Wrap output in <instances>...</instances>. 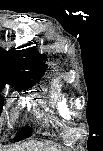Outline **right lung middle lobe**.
Wrapping results in <instances>:
<instances>
[{
    "label": "right lung middle lobe",
    "mask_w": 103,
    "mask_h": 151,
    "mask_svg": "<svg viewBox=\"0 0 103 151\" xmlns=\"http://www.w3.org/2000/svg\"><path fill=\"white\" fill-rule=\"evenodd\" d=\"M40 78L36 79V80H32L26 83L25 86L20 87V88H16L18 91L21 89H27L28 87H32L34 85V83H36ZM5 81L0 80V87L2 88L5 85ZM1 107H2V101H1ZM31 135V130L29 127H24L21 129V131L17 134V138L16 141L22 140L24 138H27Z\"/></svg>",
    "instance_id": "obj_1"
}]
</instances>
